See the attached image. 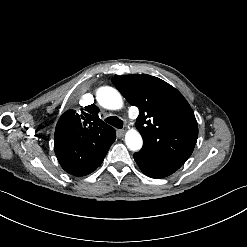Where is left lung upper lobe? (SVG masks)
Masks as SVG:
<instances>
[{
    "mask_svg": "<svg viewBox=\"0 0 247 247\" xmlns=\"http://www.w3.org/2000/svg\"><path fill=\"white\" fill-rule=\"evenodd\" d=\"M112 83L131 105L139 108L135 125L143 146L185 163L195 147L198 125L183 95L147 74L116 76Z\"/></svg>",
    "mask_w": 247,
    "mask_h": 247,
    "instance_id": "left-lung-upper-lobe-1",
    "label": "left lung upper lobe"
}]
</instances>
